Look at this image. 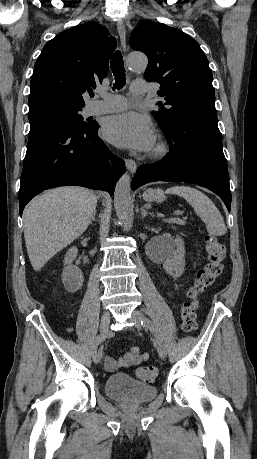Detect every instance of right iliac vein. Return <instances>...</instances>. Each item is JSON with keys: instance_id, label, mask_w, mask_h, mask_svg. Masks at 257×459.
I'll use <instances>...</instances> for the list:
<instances>
[{"instance_id": "obj_1", "label": "right iliac vein", "mask_w": 257, "mask_h": 459, "mask_svg": "<svg viewBox=\"0 0 257 459\" xmlns=\"http://www.w3.org/2000/svg\"><path fill=\"white\" fill-rule=\"evenodd\" d=\"M110 321H111V315L108 311H105L103 314H102V317H101V322H100V332L102 334H106L108 332V327H109V324H110ZM101 358H102V354L99 351L93 353V361L95 363H99L101 361Z\"/></svg>"}]
</instances>
